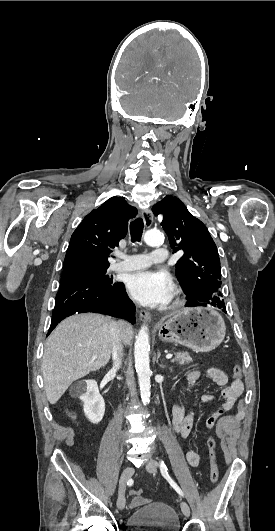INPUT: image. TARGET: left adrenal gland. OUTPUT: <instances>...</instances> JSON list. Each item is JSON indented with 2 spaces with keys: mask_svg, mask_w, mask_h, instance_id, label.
I'll return each mask as SVG.
<instances>
[{
  "mask_svg": "<svg viewBox=\"0 0 275 531\" xmlns=\"http://www.w3.org/2000/svg\"><path fill=\"white\" fill-rule=\"evenodd\" d=\"M159 357H160V353H158V355H157V359H156L157 365H159V363H158ZM159 367H162V369H164V367H166V365H159Z\"/></svg>",
  "mask_w": 275,
  "mask_h": 531,
  "instance_id": "left-adrenal-gland-1",
  "label": "left adrenal gland"
}]
</instances>
